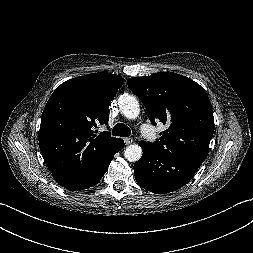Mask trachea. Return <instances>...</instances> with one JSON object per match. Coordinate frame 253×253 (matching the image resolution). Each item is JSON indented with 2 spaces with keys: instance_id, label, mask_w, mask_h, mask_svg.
Returning a JSON list of instances; mask_svg holds the SVG:
<instances>
[{
  "instance_id": "trachea-1",
  "label": "trachea",
  "mask_w": 253,
  "mask_h": 253,
  "mask_svg": "<svg viewBox=\"0 0 253 253\" xmlns=\"http://www.w3.org/2000/svg\"><path fill=\"white\" fill-rule=\"evenodd\" d=\"M130 134V128L123 123L116 124L112 129L113 136L128 137Z\"/></svg>"
}]
</instances>
